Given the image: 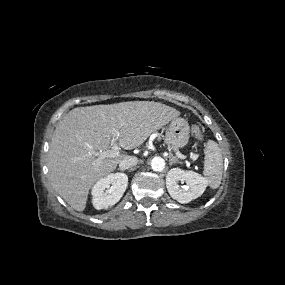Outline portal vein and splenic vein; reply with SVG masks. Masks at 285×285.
I'll return each instance as SVG.
<instances>
[{
	"instance_id": "18ae733b",
	"label": "portal vein and splenic vein",
	"mask_w": 285,
	"mask_h": 285,
	"mask_svg": "<svg viewBox=\"0 0 285 285\" xmlns=\"http://www.w3.org/2000/svg\"><path fill=\"white\" fill-rule=\"evenodd\" d=\"M111 135H112V139H111V149L109 150H100L98 152H95L94 154L98 157L97 158V162L99 163L101 160H103L104 158H115L118 157L120 155V148L117 144V139L119 137V131L116 128H113L111 130ZM176 156L180 159H186L187 156L181 154L180 152H176ZM190 158L195 161L197 160L198 156L196 154H192L190 155Z\"/></svg>"
}]
</instances>
